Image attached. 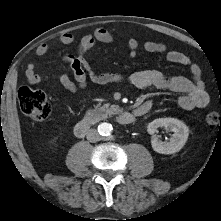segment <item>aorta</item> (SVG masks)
Instances as JSON below:
<instances>
[{
	"instance_id": "aorta-1",
	"label": "aorta",
	"mask_w": 221,
	"mask_h": 221,
	"mask_svg": "<svg viewBox=\"0 0 221 221\" xmlns=\"http://www.w3.org/2000/svg\"><path fill=\"white\" fill-rule=\"evenodd\" d=\"M112 131V126L109 123H102L98 126V132L102 136H108Z\"/></svg>"
}]
</instances>
